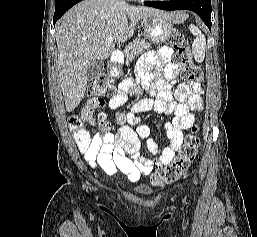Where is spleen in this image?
Here are the masks:
<instances>
[{"label": "spleen", "instance_id": "3e777b00", "mask_svg": "<svg viewBox=\"0 0 257 237\" xmlns=\"http://www.w3.org/2000/svg\"><path fill=\"white\" fill-rule=\"evenodd\" d=\"M190 32L196 36L195 40L192 43V51L194 58L197 62L201 63L205 58V49H206V39L204 34L196 27L195 25L189 26Z\"/></svg>", "mask_w": 257, "mask_h": 237}]
</instances>
